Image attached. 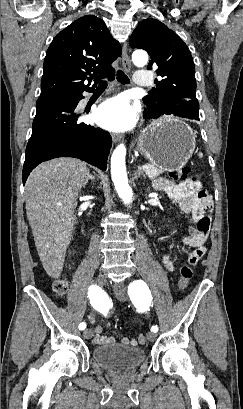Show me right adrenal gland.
Listing matches in <instances>:
<instances>
[{
	"label": "right adrenal gland",
	"mask_w": 243,
	"mask_h": 409,
	"mask_svg": "<svg viewBox=\"0 0 243 409\" xmlns=\"http://www.w3.org/2000/svg\"><path fill=\"white\" fill-rule=\"evenodd\" d=\"M89 180H91L92 182H94V181H95V176L92 175V174H89L87 180L85 181V183H84V185H83L84 188H85L86 185L88 184V181H89Z\"/></svg>",
	"instance_id": "2a0ac1e0"
}]
</instances>
